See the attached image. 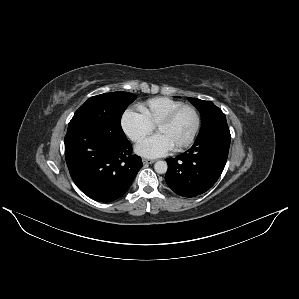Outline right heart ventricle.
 I'll return each instance as SVG.
<instances>
[{
	"label": "right heart ventricle",
	"instance_id": "e07e8e85",
	"mask_svg": "<svg viewBox=\"0 0 299 299\" xmlns=\"http://www.w3.org/2000/svg\"><path fill=\"white\" fill-rule=\"evenodd\" d=\"M184 105L167 97H155L138 104L137 108L142 117L153 127L174 109Z\"/></svg>",
	"mask_w": 299,
	"mask_h": 299
}]
</instances>
